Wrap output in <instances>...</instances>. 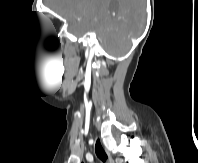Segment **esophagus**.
<instances>
[{"label":"esophagus","instance_id":"34e87169","mask_svg":"<svg viewBox=\"0 0 198 163\" xmlns=\"http://www.w3.org/2000/svg\"><path fill=\"white\" fill-rule=\"evenodd\" d=\"M105 152H106V155H107L106 163H114L110 152L106 148H105Z\"/></svg>","mask_w":198,"mask_h":163}]
</instances>
